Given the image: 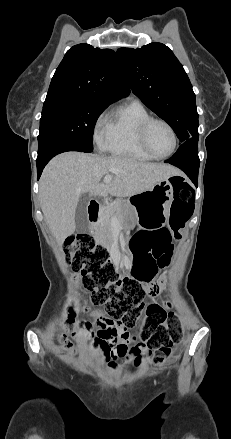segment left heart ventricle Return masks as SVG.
Masks as SVG:
<instances>
[{
  "mask_svg": "<svg viewBox=\"0 0 231 439\" xmlns=\"http://www.w3.org/2000/svg\"><path fill=\"white\" fill-rule=\"evenodd\" d=\"M148 142L157 155H165L170 152L173 146V137L165 125L155 123L149 130Z\"/></svg>",
  "mask_w": 231,
  "mask_h": 439,
  "instance_id": "1",
  "label": "left heart ventricle"
}]
</instances>
